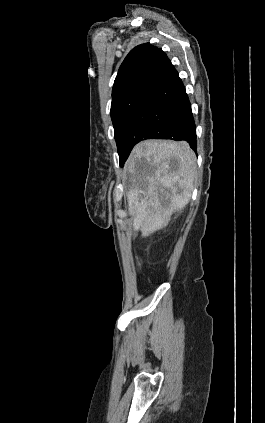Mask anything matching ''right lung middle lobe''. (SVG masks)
Returning <instances> with one entry per match:
<instances>
[{"mask_svg":"<svg viewBox=\"0 0 265 423\" xmlns=\"http://www.w3.org/2000/svg\"><path fill=\"white\" fill-rule=\"evenodd\" d=\"M147 94L148 93L130 94L111 104V118L114 126V136L118 147L120 166H122L124 161L127 159V155L121 144L123 132Z\"/></svg>","mask_w":265,"mask_h":423,"instance_id":"1","label":"right lung middle lobe"}]
</instances>
